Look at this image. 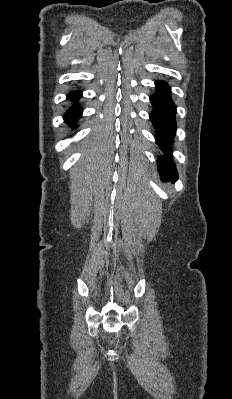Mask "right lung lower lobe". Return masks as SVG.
Returning a JSON list of instances; mask_svg holds the SVG:
<instances>
[{
	"mask_svg": "<svg viewBox=\"0 0 232 399\" xmlns=\"http://www.w3.org/2000/svg\"><path fill=\"white\" fill-rule=\"evenodd\" d=\"M81 92L80 91H71L68 95L67 98L72 101H76L81 97ZM82 114V109L76 107H71L67 110V112L64 115V119L67 123H70L71 126L76 127V121L81 117Z\"/></svg>",
	"mask_w": 232,
	"mask_h": 399,
	"instance_id": "right-lung-lower-lobe-1",
	"label": "right lung lower lobe"
}]
</instances>
